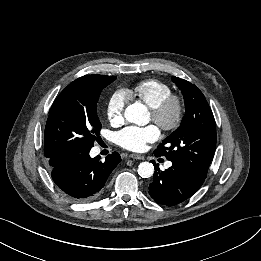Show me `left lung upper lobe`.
Masks as SVG:
<instances>
[{"label":"left lung upper lobe","mask_w":261,"mask_h":261,"mask_svg":"<svg viewBox=\"0 0 261 261\" xmlns=\"http://www.w3.org/2000/svg\"><path fill=\"white\" fill-rule=\"evenodd\" d=\"M185 100V116L177 130L164 139L154 154L164 155L190 172L206 178L216 146V124L202 92L190 82L172 77Z\"/></svg>","instance_id":"obj_1"}]
</instances>
